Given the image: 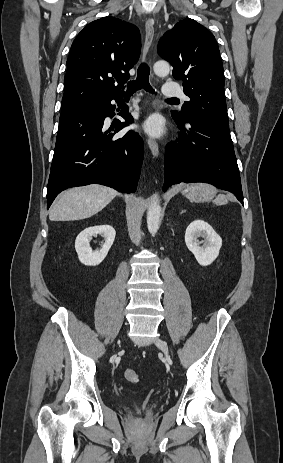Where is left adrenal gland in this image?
Instances as JSON below:
<instances>
[{
	"label": "left adrenal gland",
	"instance_id": "1",
	"mask_svg": "<svg viewBox=\"0 0 283 463\" xmlns=\"http://www.w3.org/2000/svg\"><path fill=\"white\" fill-rule=\"evenodd\" d=\"M185 212H186V210L182 209L181 212H180V214H183V213H185Z\"/></svg>",
	"mask_w": 283,
	"mask_h": 463
}]
</instances>
